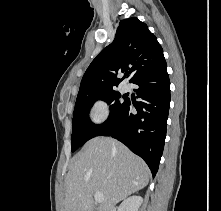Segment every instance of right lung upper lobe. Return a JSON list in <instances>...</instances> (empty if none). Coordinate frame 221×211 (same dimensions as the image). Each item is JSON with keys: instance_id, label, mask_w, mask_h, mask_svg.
<instances>
[{"instance_id": "right-lung-upper-lobe-1", "label": "right lung upper lobe", "mask_w": 221, "mask_h": 211, "mask_svg": "<svg viewBox=\"0 0 221 211\" xmlns=\"http://www.w3.org/2000/svg\"><path fill=\"white\" fill-rule=\"evenodd\" d=\"M166 64L163 49L147 25L138 18L121 20L114 41L87 68L78 97L113 91L123 80L117 75L130 70V83Z\"/></svg>"}]
</instances>
